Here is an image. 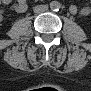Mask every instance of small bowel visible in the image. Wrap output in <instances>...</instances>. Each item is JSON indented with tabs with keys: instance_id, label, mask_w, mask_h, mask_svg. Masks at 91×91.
Here are the masks:
<instances>
[{
	"instance_id": "small-bowel-1",
	"label": "small bowel",
	"mask_w": 91,
	"mask_h": 91,
	"mask_svg": "<svg viewBox=\"0 0 91 91\" xmlns=\"http://www.w3.org/2000/svg\"><path fill=\"white\" fill-rule=\"evenodd\" d=\"M5 4H9L10 1H5L4 2ZM13 8L16 12L18 13H23L26 11L27 9V3L25 0H18L16 1L15 3H13ZM72 12L76 13L77 12V9L76 8H72L71 10Z\"/></svg>"
}]
</instances>
